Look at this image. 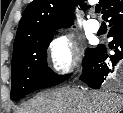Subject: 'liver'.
Wrapping results in <instances>:
<instances>
[{"label":"liver","instance_id":"6515ba94","mask_svg":"<svg viewBox=\"0 0 123 113\" xmlns=\"http://www.w3.org/2000/svg\"><path fill=\"white\" fill-rule=\"evenodd\" d=\"M122 107L120 94L62 87L36 96L17 113H121Z\"/></svg>","mask_w":123,"mask_h":113}]
</instances>
